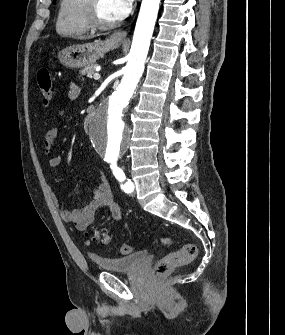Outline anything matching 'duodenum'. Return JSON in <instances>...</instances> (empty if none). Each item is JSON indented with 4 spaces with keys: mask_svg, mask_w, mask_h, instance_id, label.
I'll return each mask as SVG.
<instances>
[{
    "mask_svg": "<svg viewBox=\"0 0 285 335\" xmlns=\"http://www.w3.org/2000/svg\"><path fill=\"white\" fill-rule=\"evenodd\" d=\"M91 117H92V111L89 110L84 118V121H83V125H84V128L87 129L88 128V125H89V122L91 120Z\"/></svg>",
    "mask_w": 285,
    "mask_h": 335,
    "instance_id": "1",
    "label": "duodenum"
}]
</instances>
